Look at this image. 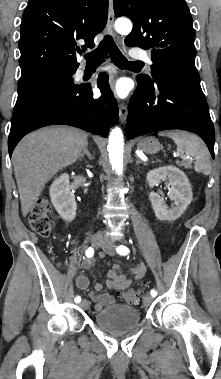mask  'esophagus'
Returning a JSON list of instances; mask_svg holds the SVG:
<instances>
[{
    "label": "esophagus",
    "instance_id": "1",
    "mask_svg": "<svg viewBox=\"0 0 221 379\" xmlns=\"http://www.w3.org/2000/svg\"><path fill=\"white\" fill-rule=\"evenodd\" d=\"M114 8H113V0H109L108 7V21H107V30L111 35H114ZM128 114V108L126 103L121 102L119 105V117L121 123H125Z\"/></svg>",
    "mask_w": 221,
    "mask_h": 379
}]
</instances>
